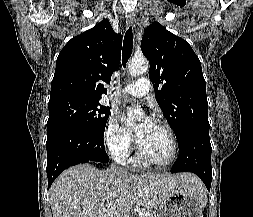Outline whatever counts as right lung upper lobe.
Here are the masks:
<instances>
[{
  "label": "right lung upper lobe",
  "instance_id": "1",
  "mask_svg": "<svg viewBox=\"0 0 253 217\" xmlns=\"http://www.w3.org/2000/svg\"><path fill=\"white\" fill-rule=\"evenodd\" d=\"M121 48L122 36L107 19L68 41L56 61L49 103L75 97L100 100L118 67Z\"/></svg>",
  "mask_w": 253,
  "mask_h": 217
}]
</instances>
